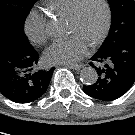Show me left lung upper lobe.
<instances>
[{
    "label": "left lung upper lobe",
    "mask_w": 135,
    "mask_h": 135,
    "mask_svg": "<svg viewBox=\"0 0 135 135\" xmlns=\"http://www.w3.org/2000/svg\"><path fill=\"white\" fill-rule=\"evenodd\" d=\"M108 2L111 8V27L100 50L128 37H135V1L108 0Z\"/></svg>",
    "instance_id": "5c2ea615"
}]
</instances>
